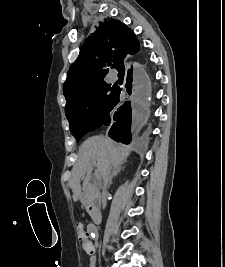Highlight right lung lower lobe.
I'll use <instances>...</instances> for the list:
<instances>
[{"label":"right lung lower lobe","mask_w":225,"mask_h":267,"mask_svg":"<svg viewBox=\"0 0 225 267\" xmlns=\"http://www.w3.org/2000/svg\"><path fill=\"white\" fill-rule=\"evenodd\" d=\"M139 50V43L138 45L129 53L130 55L138 52ZM132 69L133 67H131V64L129 63V61L127 60L125 63V67L124 69L121 71L122 74H127V83L125 85L126 87V91L128 92V94H131V92L133 91V93L138 96L141 100H145L146 98V90H147V85H148V81L147 80H143V82L141 83L139 80H137L134 77V81H133V89H132ZM138 72H141L140 70H138ZM136 75V70L134 72V76ZM117 93L116 96L113 100V103L108 111V113L106 114L103 122L101 125H110L111 122L113 120H115L116 122L112 124L111 129L109 131V136L114 139L115 141L118 142H123V143H129L131 141V131H130V119H131V111H130V105L127 106V120H125V122H121L119 119V109L125 105V103L120 106L118 108V110L113 113L112 110L119 104L120 102V94L122 89L120 87H117ZM132 89V90H131ZM100 125V126H101ZM99 126V127H100Z\"/></svg>","instance_id":"98d812e1"}]
</instances>
